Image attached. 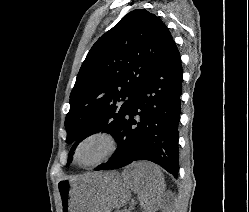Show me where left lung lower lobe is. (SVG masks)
Segmentation results:
<instances>
[{
  "label": "left lung lower lobe",
  "instance_id": "1",
  "mask_svg": "<svg viewBox=\"0 0 249 212\" xmlns=\"http://www.w3.org/2000/svg\"><path fill=\"white\" fill-rule=\"evenodd\" d=\"M181 83L180 54L173 41L132 99L115 139L118 144L115 154L95 170L148 160L178 177Z\"/></svg>",
  "mask_w": 249,
  "mask_h": 212
}]
</instances>
